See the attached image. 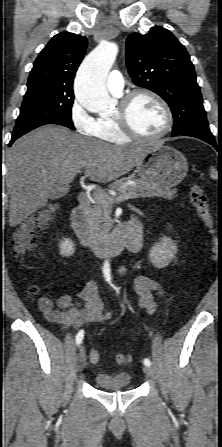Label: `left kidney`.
I'll use <instances>...</instances> for the list:
<instances>
[{"label":"left kidney","mask_w":222,"mask_h":447,"mask_svg":"<svg viewBox=\"0 0 222 447\" xmlns=\"http://www.w3.org/2000/svg\"><path fill=\"white\" fill-rule=\"evenodd\" d=\"M177 251V244L171 238L164 236L151 248L149 259L156 268H165L175 257Z\"/></svg>","instance_id":"left-kidney-1"}]
</instances>
